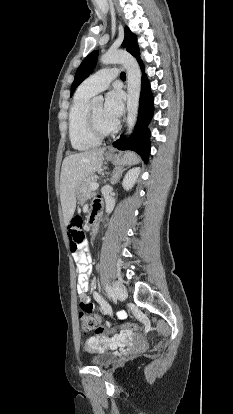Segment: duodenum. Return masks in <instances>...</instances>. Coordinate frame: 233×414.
<instances>
[{
    "label": "duodenum",
    "instance_id": "1",
    "mask_svg": "<svg viewBox=\"0 0 233 414\" xmlns=\"http://www.w3.org/2000/svg\"><path fill=\"white\" fill-rule=\"evenodd\" d=\"M98 215H99L98 210L97 209L94 210L93 213H92V215H91V221L92 222H95L97 220V218H98Z\"/></svg>",
    "mask_w": 233,
    "mask_h": 414
}]
</instances>
